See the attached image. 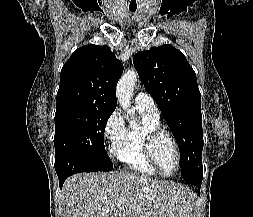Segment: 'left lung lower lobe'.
I'll list each match as a JSON object with an SVG mask.
<instances>
[{
	"label": "left lung lower lobe",
	"mask_w": 253,
	"mask_h": 217,
	"mask_svg": "<svg viewBox=\"0 0 253 217\" xmlns=\"http://www.w3.org/2000/svg\"><path fill=\"white\" fill-rule=\"evenodd\" d=\"M189 184H191L197 192L200 193V187H201V183H202V177L195 179V180H191L190 182H188Z\"/></svg>",
	"instance_id": "1"
}]
</instances>
